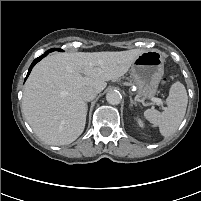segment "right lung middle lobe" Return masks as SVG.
Listing matches in <instances>:
<instances>
[{
  "label": "right lung middle lobe",
  "instance_id": "right-lung-middle-lobe-1",
  "mask_svg": "<svg viewBox=\"0 0 201 201\" xmlns=\"http://www.w3.org/2000/svg\"><path fill=\"white\" fill-rule=\"evenodd\" d=\"M54 50H60V49H55V48H54V49H50V52H51V51H54Z\"/></svg>",
  "mask_w": 201,
  "mask_h": 201
}]
</instances>
